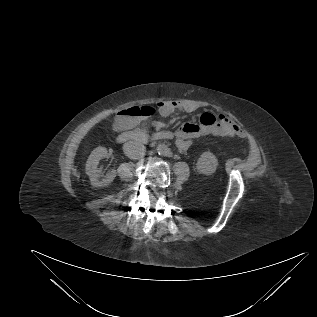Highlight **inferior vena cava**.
<instances>
[{
    "label": "inferior vena cava",
    "instance_id": "1",
    "mask_svg": "<svg viewBox=\"0 0 317 317\" xmlns=\"http://www.w3.org/2000/svg\"><path fill=\"white\" fill-rule=\"evenodd\" d=\"M124 154L130 159H140L144 157L146 149L138 141H128L123 145Z\"/></svg>",
    "mask_w": 317,
    "mask_h": 317
}]
</instances>
